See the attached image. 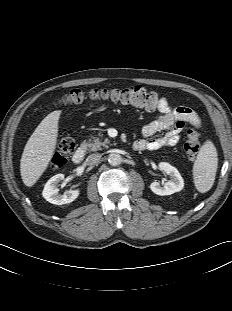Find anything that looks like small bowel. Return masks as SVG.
<instances>
[{
	"label": "small bowel",
	"instance_id": "obj_1",
	"mask_svg": "<svg viewBox=\"0 0 232 311\" xmlns=\"http://www.w3.org/2000/svg\"><path fill=\"white\" fill-rule=\"evenodd\" d=\"M191 121H196L197 127H200V118L193 109L186 106L173 107L165 98H162L158 115L142 129L145 139L138 140L143 144L141 150H158L176 145L185 126ZM163 131L165 134L162 137L149 139L154 134Z\"/></svg>",
	"mask_w": 232,
	"mask_h": 311
}]
</instances>
